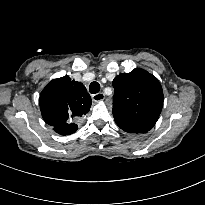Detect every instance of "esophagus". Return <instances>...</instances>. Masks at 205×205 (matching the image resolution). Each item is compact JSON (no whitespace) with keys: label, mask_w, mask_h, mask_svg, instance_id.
Instances as JSON below:
<instances>
[{"label":"esophagus","mask_w":205,"mask_h":205,"mask_svg":"<svg viewBox=\"0 0 205 205\" xmlns=\"http://www.w3.org/2000/svg\"><path fill=\"white\" fill-rule=\"evenodd\" d=\"M104 98H105V95L103 93H96V94L92 95V100L94 102H100V101L104 100Z\"/></svg>","instance_id":"34e87169"}]
</instances>
